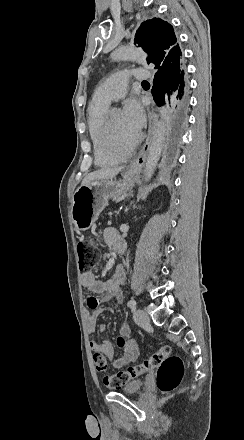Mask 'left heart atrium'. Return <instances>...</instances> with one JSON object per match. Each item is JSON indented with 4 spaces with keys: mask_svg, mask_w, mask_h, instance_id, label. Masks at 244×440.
I'll use <instances>...</instances> for the list:
<instances>
[{
    "mask_svg": "<svg viewBox=\"0 0 244 440\" xmlns=\"http://www.w3.org/2000/svg\"><path fill=\"white\" fill-rule=\"evenodd\" d=\"M122 115L127 129L133 135H136L145 124L144 108L137 99L126 102Z\"/></svg>",
    "mask_w": 244,
    "mask_h": 440,
    "instance_id": "left-heart-atrium-1",
    "label": "left heart atrium"
}]
</instances>
